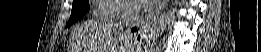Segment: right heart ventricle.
<instances>
[{
	"mask_svg": "<svg viewBox=\"0 0 261 52\" xmlns=\"http://www.w3.org/2000/svg\"><path fill=\"white\" fill-rule=\"evenodd\" d=\"M116 9H118V6L102 1L97 8L96 20L110 22V14Z\"/></svg>",
	"mask_w": 261,
	"mask_h": 52,
	"instance_id": "e07e8e85",
	"label": "right heart ventricle"
}]
</instances>
